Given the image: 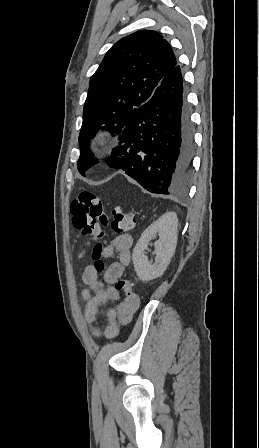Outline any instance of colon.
Masks as SVG:
<instances>
[{
  "instance_id": "1",
  "label": "colon",
  "mask_w": 259,
  "mask_h": 448,
  "mask_svg": "<svg viewBox=\"0 0 259 448\" xmlns=\"http://www.w3.org/2000/svg\"><path fill=\"white\" fill-rule=\"evenodd\" d=\"M74 227L89 241L94 243L92 259L94 268L98 272L104 270L105 264L102 260L104 246L102 238L104 227H108L114 233H124L134 228L136 219L131 212L117 206L110 214H107L99 196L91 191H81L70 206ZM115 288L122 291L129 299L135 295L134 285L128 279H119Z\"/></svg>"
}]
</instances>
